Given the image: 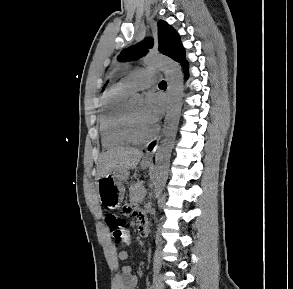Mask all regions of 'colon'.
<instances>
[{"label":"colon","mask_w":293,"mask_h":289,"mask_svg":"<svg viewBox=\"0 0 293 289\" xmlns=\"http://www.w3.org/2000/svg\"><path fill=\"white\" fill-rule=\"evenodd\" d=\"M124 215H138V212L131 206H124L122 209ZM105 222L111 234L120 240H124L126 236V222L123 218L114 213H108L105 216Z\"/></svg>","instance_id":"5ec220e1"}]
</instances>
